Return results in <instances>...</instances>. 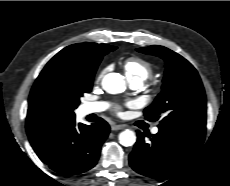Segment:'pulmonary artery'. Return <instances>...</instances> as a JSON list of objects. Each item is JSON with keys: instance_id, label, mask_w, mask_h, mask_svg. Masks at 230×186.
I'll use <instances>...</instances> for the list:
<instances>
[{"instance_id": "e3ab8cb5", "label": "pulmonary artery", "mask_w": 230, "mask_h": 186, "mask_svg": "<svg viewBox=\"0 0 230 186\" xmlns=\"http://www.w3.org/2000/svg\"><path fill=\"white\" fill-rule=\"evenodd\" d=\"M129 85L132 89H139L142 87L143 82L138 79H129ZM106 108L107 104L105 102H90L84 105V113H98L104 111ZM151 131L153 134H156L159 132V129L158 127H153Z\"/></svg>"}]
</instances>
